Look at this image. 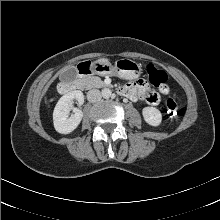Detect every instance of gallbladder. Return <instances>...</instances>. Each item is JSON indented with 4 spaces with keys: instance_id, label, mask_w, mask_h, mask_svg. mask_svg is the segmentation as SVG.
<instances>
[{
    "instance_id": "obj_1",
    "label": "gallbladder",
    "mask_w": 220,
    "mask_h": 220,
    "mask_svg": "<svg viewBox=\"0 0 220 220\" xmlns=\"http://www.w3.org/2000/svg\"><path fill=\"white\" fill-rule=\"evenodd\" d=\"M63 78H67L69 80H74L77 77V69L75 67H70L68 68L63 74H62Z\"/></svg>"
}]
</instances>
